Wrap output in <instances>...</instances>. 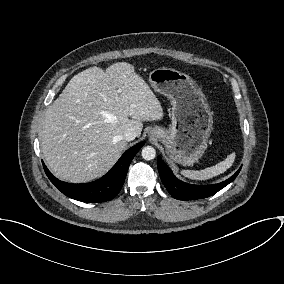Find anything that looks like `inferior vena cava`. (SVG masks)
<instances>
[{"label":"inferior vena cava","mask_w":284,"mask_h":284,"mask_svg":"<svg viewBox=\"0 0 284 284\" xmlns=\"http://www.w3.org/2000/svg\"><path fill=\"white\" fill-rule=\"evenodd\" d=\"M136 136H137V133H136L134 128L126 129V131L123 134V138L126 141H132V140H134L136 138Z\"/></svg>","instance_id":"1"}]
</instances>
